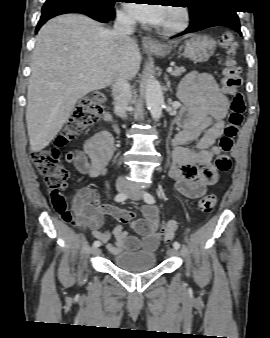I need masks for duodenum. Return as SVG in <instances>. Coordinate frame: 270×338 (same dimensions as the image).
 <instances>
[{
	"mask_svg": "<svg viewBox=\"0 0 270 338\" xmlns=\"http://www.w3.org/2000/svg\"><path fill=\"white\" fill-rule=\"evenodd\" d=\"M103 119L105 120L106 123H108L112 127L117 128V123L115 121V118L110 111H105L103 113Z\"/></svg>",
	"mask_w": 270,
	"mask_h": 338,
	"instance_id": "1",
	"label": "duodenum"
}]
</instances>
